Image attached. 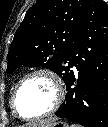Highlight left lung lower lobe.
Wrapping results in <instances>:
<instances>
[{
  "label": "left lung lower lobe",
  "instance_id": "left-lung-lower-lobe-1",
  "mask_svg": "<svg viewBox=\"0 0 108 127\" xmlns=\"http://www.w3.org/2000/svg\"><path fill=\"white\" fill-rule=\"evenodd\" d=\"M64 74L67 95L56 115L85 127H108V6L103 0H88Z\"/></svg>",
  "mask_w": 108,
  "mask_h": 127
}]
</instances>
